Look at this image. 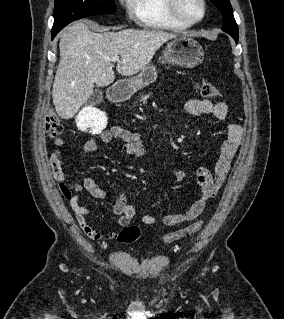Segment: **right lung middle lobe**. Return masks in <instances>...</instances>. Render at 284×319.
Returning <instances> with one entry per match:
<instances>
[{
	"instance_id": "dd1d6c3e",
	"label": "right lung middle lobe",
	"mask_w": 284,
	"mask_h": 319,
	"mask_svg": "<svg viewBox=\"0 0 284 319\" xmlns=\"http://www.w3.org/2000/svg\"><path fill=\"white\" fill-rule=\"evenodd\" d=\"M116 10L113 0H55L52 32H59L74 20Z\"/></svg>"
}]
</instances>
